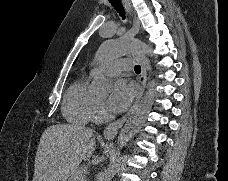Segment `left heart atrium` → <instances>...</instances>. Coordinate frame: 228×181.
Here are the masks:
<instances>
[{
    "label": "left heart atrium",
    "mask_w": 228,
    "mask_h": 181,
    "mask_svg": "<svg viewBox=\"0 0 228 181\" xmlns=\"http://www.w3.org/2000/svg\"><path fill=\"white\" fill-rule=\"evenodd\" d=\"M133 94L132 85L125 79H119L114 83L112 96L109 101L111 110L115 112L123 111L129 104ZM121 98L120 103H118Z\"/></svg>",
    "instance_id": "1"
}]
</instances>
